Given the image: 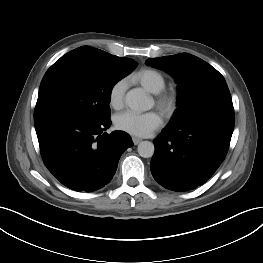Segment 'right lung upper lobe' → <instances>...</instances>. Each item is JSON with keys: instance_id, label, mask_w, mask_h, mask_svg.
I'll return each instance as SVG.
<instances>
[{"instance_id": "right-lung-upper-lobe-1", "label": "right lung upper lobe", "mask_w": 263, "mask_h": 263, "mask_svg": "<svg viewBox=\"0 0 263 263\" xmlns=\"http://www.w3.org/2000/svg\"><path fill=\"white\" fill-rule=\"evenodd\" d=\"M90 48H92V47H90ZM92 49L95 50V51H97V52H100V53H102V54H104V55H107V56H109V57H112V58H121V57H117V56L111 55V54H109V53H107V52H104V51H102V50H99V49H95V48H92Z\"/></svg>"}]
</instances>
